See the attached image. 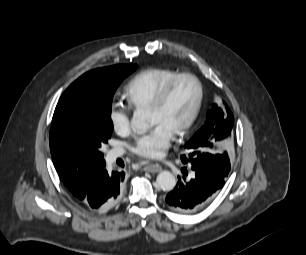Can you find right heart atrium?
Listing matches in <instances>:
<instances>
[{
	"mask_svg": "<svg viewBox=\"0 0 306 255\" xmlns=\"http://www.w3.org/2000/svg\"><path fill=\"white\" fill-rule=\"evenodd\" d=\"M113 130L119 135H126L132 129L131 117L129 113L117 106H113L109 114Z\"/></svg>",
	"mask_w": 306,
	"mask_h": 255,
	"instance_id": "1",
	"label": "right heart atrium"
}]
</instances>
